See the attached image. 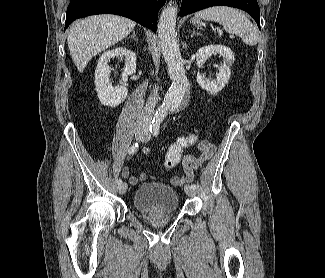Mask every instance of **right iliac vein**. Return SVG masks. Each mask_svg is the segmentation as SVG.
I'll list each match as a JSON object with an SVG mask.
<instances>
[{"label": "right iliac vein", "mask_w": 325, "mask_h": 278, "mask_svg": "<svg viewBox=\"0 0 325 278\" xmlns=\"http://www.w3.org/2000/svg\"><path fill=\"white\" fill-rule=\"evenodd\" d=\"M145 131L143 128H137L135 131V138L136 139H140L143 135H144ZM117 190L120 194H124L127 191V184L126 183H122L120 185H118Z\"/></svg>", "instance_id": "1"}]
</instances>
